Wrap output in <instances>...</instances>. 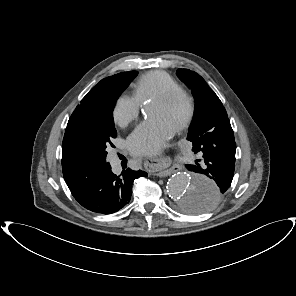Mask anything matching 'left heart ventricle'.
Segmentation results:
<instances>
[{
    "mask_svg": "<svg viewBox=\"0 0 296 296\" xmlns=\"http://www.w3.org/2000/svg\"><path fill=\"white\" fill-rule=\"evenodd\" d=\"M184 111L185 106L181 101L169 105L152 102L147 109L149 117L159 118L170 125L173 129L181 120Z\"/></svg>",
    "mask_w": 296,
    "mask_h": 296,
    "instance_id": "left-heart-ventricle-1",
    "label": "left heart ventricle"
}]
</instances>
